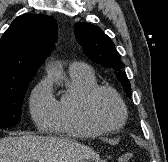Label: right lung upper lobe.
<instances>
[{
  "instance_id": "obj_1",
  "label": "right lung upper lobe",
  "mask_w": 168,
  "mask_h": 162,
  "mask_svg": "<svg viewBox=\"0 0 168 162\" xmlns=\"http://www.w3.org/2000/svg\"><path fill=\"white\" fill-rule=\"evenodd\" d=\"M57 22L44 14L17 17L0 40V85L33 79L53 50Z\"/></svg>"
}]
</instances>
